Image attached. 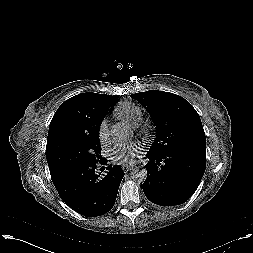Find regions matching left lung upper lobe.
<instances>
[{
	"instance_id": "5c2ea615",
	"label": "left lung upper lobe",
	"mask_w": 253,
	"mask_h": 253,
	"mask_svg": "<svg viewBox=\"0 0 253 253\" xmlns=\"http://www.w3.org/2000/svg\"><path fill=\"white\" fill-rule=\"evenodd\" d=\"M130 97L147 109L156 126V139L149 152L163 154L183 147L206 150L200 117L183 97L159 90L139 92Z\"/></svg>"
}]
</instances>
